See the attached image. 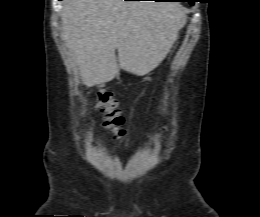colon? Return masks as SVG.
I'll return each mask as SVG.
<instances>
[{
	"label": "colon",
	"mask_w": 260,
	"mask_h": 217,
	"mask_svg": "<svg viewBox=\"0 0 260 217\" xmlns=\"http://www.w3.org/2000/svg\"><path fill=\"white\" fill-rule=\"evenodd\" d=\"M94 106L103 114L105 125L115 140L126 143V131L123 128L124 118L117 107L116 101L108 91H100L96 95Z\"/></svg>",
	"instance_id": "obj_1"
}]
</instances>
